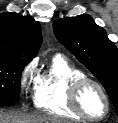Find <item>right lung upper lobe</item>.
Segmentation results:
<instances>
[{
	"label": "right lung upper lobe",
	"mask_w": 118,
	"mask_h": 123,
	"mask_svg": "<svg viewBox=\"0 0 118 123\" xmlns=\"http://www.w3.org/2000/svg\"><path fill=\"white\" fill-rule=\"evenodd\" d=\"M41 43L40 24L32 17L19 13L0 14V57L28 64L37 55Z\"/></svg>",
	"instance_id": "obj_1"
}]
</instances>
